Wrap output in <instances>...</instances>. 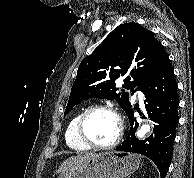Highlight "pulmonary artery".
<instances>
[{"instance_id":"1","label":"pulmonary artery","mask_w":194,"mask_h":178,"mask_svg":"<svg viewBox=\"0 0 194 178\" xmlns=\"http://www.w3.org/2000/svg\"><path fill=\"white\" fill-rule=\"evenodd\" d=\"M135 94H136V96H137L139 99H142L143 95H142L141 91L137 90V91L135 92Z\"/></svg>"}]
</instances>
